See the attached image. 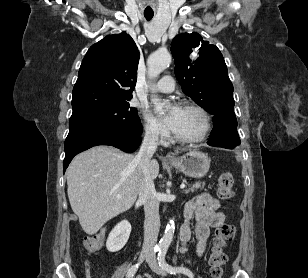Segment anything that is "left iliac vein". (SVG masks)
Returning <instances> with one entry per match:
<instances>
[{
    "instance_id": "4c4485c4",
    "label": "left iliac vein",
    "mask_w": 308,
    "mask_h": 278,
    "mask_svg": "<svg viewBox=\"0 0 308 278\" xmlns=\"http://www.w3.org/2000/svg\"><path fill=\"white\" fill-rule=\"evenodd\" d=\"M150 268L159 275H165L166 272L160 267L155 255L151 254L147 260Z\"/></svg>"
}]
</instances>
